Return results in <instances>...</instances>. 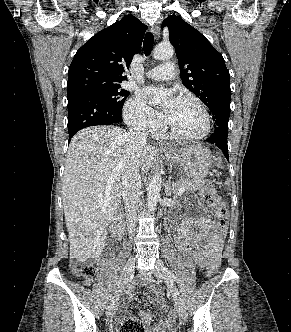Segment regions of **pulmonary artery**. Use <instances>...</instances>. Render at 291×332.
<instances>
[{"mask_svg": "<svg viewBox=\"0 0 291 332\" xmlns=\"http://www.w3.org/2000/svg\"><path fill=\"white\" fill-rule=\"evenodd\" d=\"M175 76L174 64L172 62H165L156 66L146 73L148 79L157 81L170 80Z\"/></svg>", "mask_w": 291, "mask_h": 332, "instance_id": "1", "label": "pulmonary artery"}]
</instances>
